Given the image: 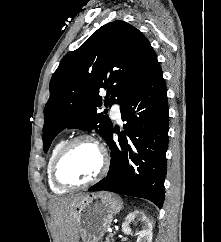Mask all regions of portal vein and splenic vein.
I'll use <instances>...</instances> for the list:
<instances>
[{"label": "portal vein and splenic vein", "mask_w": 221, "mask_h": 242, "mask_svg": "<svg viewBox=\"0 0 221 242\" xmlns=\"http://www.w3.org/2000/svg\"><path fill=\"white\" fill-rule=\"evenodd\" d=\"M112 232H113V230L111 229L110 230V234H109L110 237H113V233Z\"/></svg>", "instance_id": "18ae733b"}]
</instances>
